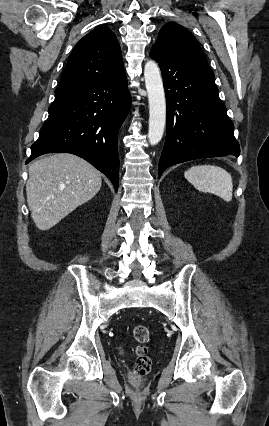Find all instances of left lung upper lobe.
Instances as JSON below:
<instances>
[{
	"instance_id": "1",
	"label": "left lung upper lobe",
	"mask_w": 269,
	"mask_h": 426,
	"mask_svg": "<svg viewBox=\"0 0 269 426\" xmlns=\"http://www.w3.org/2000/svg\"><path fill=\"white\" fill-rule=\"evenodd\" d=\"M153 47L169 53L191 57L208 65L195 37L186 28L175 22H168L161 28Z\"/></svg>"
}]
</instances>
